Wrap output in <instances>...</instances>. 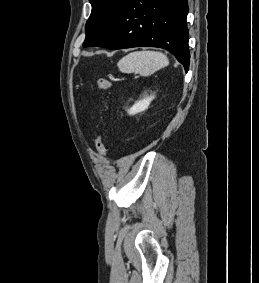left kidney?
<instances>
[{
  "mask_svg": "<svg viewBox=\"0 0 259 283\" xmlns=\"http://www.w3.org/2000/svg\"><path fill=\"white\" fill-rule=\"evenodd\" d=\"M154 95L146 96L142 100L137 101L129 110V115H135L139 112L145 111L148 109L151 101L154 99Z\"/></svg>",
  "mask_w": 259,
  "mask_h": 283,
  "instance_id": "left-kidney-1",
  "label": "left kidney"
}]
</instances>
